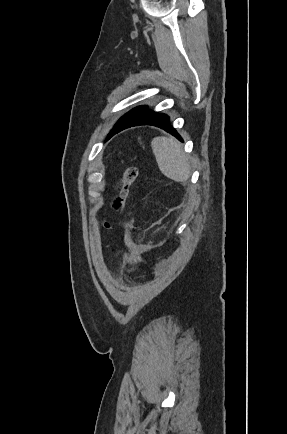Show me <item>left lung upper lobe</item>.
Wrapping results in <instances>:
<instances>
[{
  "instance_id": "1",
  "label": "left lung upper lobe",
  "mask_w": 287,
  "mask_h": 434,
  "mask_svg": "<svg viewBox=\"0 0 287 434\" xmlns=\"http://www.w3.org/2000/svg\"><path fill=\"white\" fill-rule=\"evenodd\" d=\"M147 106H139L134 108L133 110L129 111L128 113H126L124 116H122L119 121L115 124V126L113 127V129L111 130V132L108 135V138L113 135V133L126 121L128 120L130 117H132L133 115L137 114L138 112H140L141 110H143L144 108H146Z\"/></svg>"
}]
</instances>
